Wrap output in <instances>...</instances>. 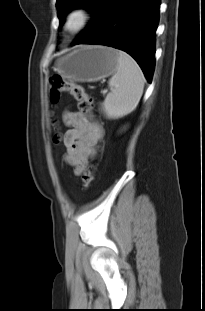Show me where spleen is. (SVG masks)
I'll list each match as a JSON object with an SVG mask.
<instances>
[{
  "mask_svg": "<svg viewBox=\"0 0 205 311\" xmlns=\"http://www.w3.org/2000/svg\"><path fill=\"white\" fill-rule=\"evenodd\" d=\"M116 73L109 79L110 92L102 103L109 119L131 113L143 94L145 77L138 63L126 52L118 51Z\"/></svg>",
  "mask_w": 205,
  "mask_h": 311,
  "instance_id": "spleen-1",
  "label": "spleen"
}]
</instances>
